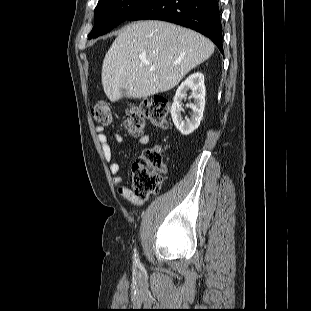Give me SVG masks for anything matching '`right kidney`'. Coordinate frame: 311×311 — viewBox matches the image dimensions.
I'll return each instance as SVG.
<instances>
[{
	"label": "right kidney",
	"mask_w": 311,
	"mask_h": 311,
	"mask_svg": "<svg viewBox=\"0 0 311 311\" xmlns=\"http://www.w3.org/2000/svg\"><path fill=\"white\" fill-rule=\"evenodd\" d=\"M191 90V97L194 102L190 104V108L193 113L191 118H185L181 115L182 100L186 98L187 92ZM205 107V85L204 75L200 72L191 74L185 81L178 87L174 102L171 107V116L175 127L180 131L182 135H189L196 130L203 117V111Z\"/></svg>",
	"instance_id": "right-kidney-1"
}]
</instances>
